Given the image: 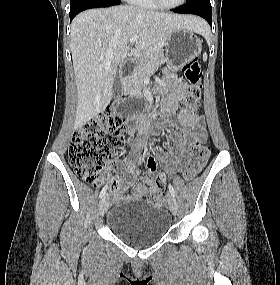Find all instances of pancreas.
<instances>
[{
	"mask_svg": "<svg viewBox=\"0 0 280 285\" xmlns=\"http://www.w3.org/2000/svg\"><path fill=\"white\" fill-rule=\"evenodd\" d=\"M165 61L162 54L154 56H144L140 59L133 75L126 84V93L129 95L136 94L141 91L144 79L154 73L160 65Z\"/></svg>",
	"mask_w": 280,
	"mask_h": 285,
	"instance_id": "1",
	"label": "pancreas"
}]
</instances>
